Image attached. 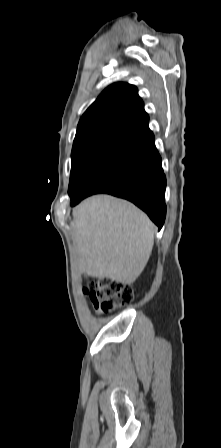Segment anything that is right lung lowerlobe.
<instances>
[{
  "label": "right lung lower lobe",
  "instance_id": "right-lung-lower-lobe-1",
  "mask_svg": "<svg viewBox=\"0 0 221 448\" xmlns=\"http://www.w3.org/2000/svg\"><path fill=\"white\" fill-rule=\"evenodd\" d=\"M148 125L114 146L71 200L107 193L133 202L162 228L166 216V177Z\"/></svg>",
  "mask_w": 221,
  "mask_h": 448
}]
</instances>
